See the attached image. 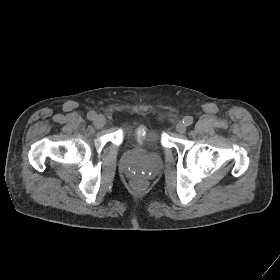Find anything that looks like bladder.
I'll list each match as a JSON object with an SVG mask.
<instances>
[{"label": "bladder", "instance_id": "bladder-1", "mask_svg": "<svg viewBox=\"0 0 280 280\" xmlns=\"http://www.w3.org/2000/svg\"><path fill=\"white\" fill-rule=\"evenodd\" d=\"M125 136L129 140L141 141L154 147H158L161 141L159 132L149 127L136 128L128 126L125 130Z\"/></svg>", "mask_w": 280, "mask_h": 280}]
</instances>
